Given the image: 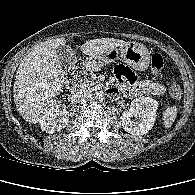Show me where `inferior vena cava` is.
Here are the masks:
<instances>
[{
    "label": "inferior vena cava",
    "instance_id": "obj_1",
    "mask_svg": "<svg viewBox=\"0 0 195 195\" xmlns=\"http://www.w3.org/2000/svg\"><path fill=\"white\" fill-rule=\"evenodd\" d=\"M74 98L78 103H86L92 98V93L90 90L82 89L74 95Z\"/></svg>",
    "mask_w": 195,
    "mask_h": 195
}]
</instances>
